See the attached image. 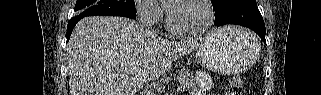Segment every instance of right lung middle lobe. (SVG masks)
I'll list each match as a JSON object with an SVG mask.
<instances>
[{"instance_id": "dd1d6c3e", "label": "right lung middle lobe", "mask_w": 321, "mask_h": 95, "mask_svg": "<svg viewBox=\"0 0 321 95\" xmlns=\"http://www.w3.org/2000/svg\"><path fill=\"white\" fill-rule=\"evenodd\" d=\"M75 11V17L80 18L92 15L136 18L134 0H77Z\"/></svg>"}]
</instances>
